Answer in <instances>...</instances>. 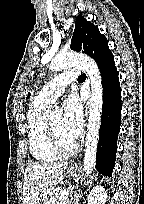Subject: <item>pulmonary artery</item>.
Segmentation results:
<instances>
[{"mask_svg": "<svg viewBox=\"0 0 144 204\" xmlns=\"http://www.w3.org/2000/svg\"><path fill=\"white\" fill-rule=\"evenodd\" d=\"M79 74V71L71 70L56 76L39 91L36 100L45 105L54 103L64 92L67 84L77 79Z\"/></svg>", "mask_w": 144, "mask_h": 204, "instance_id": "e3ab8cb5", "label": "pulmonary artery"}]
</instances>
